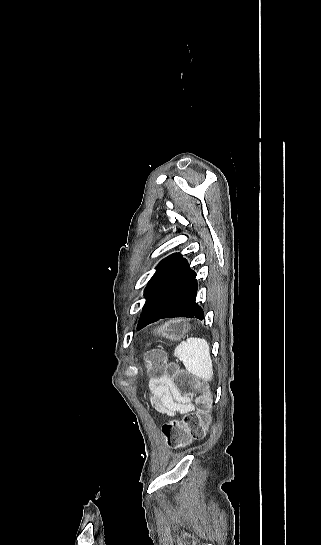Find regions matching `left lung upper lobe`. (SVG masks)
<instances>
[{"mask_svg": "<svg viewBox=\"0 0 321 545\" xmlns=\"http://www.w3.org/2000/svg\"><path fill=\"white\" fill-rule=\"evenodd\" d=\"M165 259H166V258H165ZM165 259H164V260H165ZM164 260L161 261V262L159 263V265H157L156 269H159V268H160V266L162 265V263L164 262Z\"/></svg>", "mask_w": 321, "mask_h": 545, "instance_id": "5c2ea615", "label": "left lung upper lobe"}]
</instances>
